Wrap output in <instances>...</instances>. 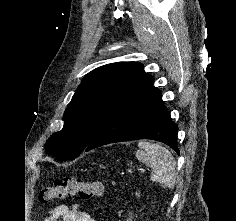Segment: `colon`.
<instances>
[{
	"instance_id": "1",
	"label": "colon",
	"mask_w": 236,
	"mask_h": 221,
	"mask_svg": "<svg viewBox=\"0 0 236 221\" xmlns=\"http://www.w3.org/2000/svg\"><path fill=\"white\" fill-rule=\"evenodd\" d=\"M104 185L101 182L84 181L80 178L67 176L56 179L53 183L44 186L39 193V201L49 204L55 200L78 196L82 199H90L101 196Z\"/></svg>"
}]
</instances>
